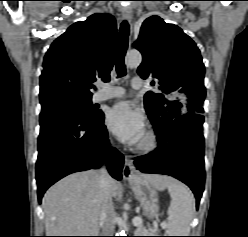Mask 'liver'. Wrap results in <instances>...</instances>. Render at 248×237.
<instances>
[{"label":"liver","instance_id":"liver-1","mask_svg":"<svg viewBox=\"0 0 248 237\" xmlns=\"http://www.w3.org/2000/svg\"><path fill=\"white\" fill-rule=\"evenodd\" d=\"M158 190H164L172 179L155 174H141ZM99 172L89 170L71 174L54 184L45 193L42 206L46 236H94L100 225ZM113 197L121 186L110 179Z\"/></svg>","mask_w":248,"mask_h":237}]
</instances>
